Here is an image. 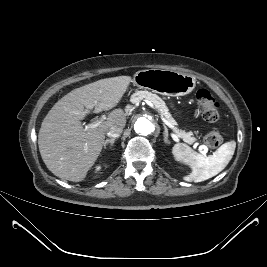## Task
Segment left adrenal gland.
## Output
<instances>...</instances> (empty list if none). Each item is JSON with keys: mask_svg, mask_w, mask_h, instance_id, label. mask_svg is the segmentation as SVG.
<instances>
[{"mask_svg": "<svg viewBox=\"0 0 267 267\" xmlns=\"http://www.w3.org/2000/svg\"><path fill=\"white\" fill-rule=\"evenodd\" d=\"M163 126H164V141H165V143H169V140H168V129H167V127L163 124Z\"/></svg>", "mask_w": 267, "mask_h": 267, "instance_id": "left-adrenal-gland-1", "label": "left adrenal gland"}]
</instances>
